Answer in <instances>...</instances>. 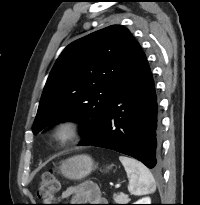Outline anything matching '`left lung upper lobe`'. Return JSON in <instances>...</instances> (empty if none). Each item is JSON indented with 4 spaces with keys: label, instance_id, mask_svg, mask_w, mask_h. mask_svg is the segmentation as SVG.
<instances>
[{
    "label": "left lung upper lobe",
    "instance_id": "1",
    "mask_svg": "<svg viewBox=\"0 0 200 205\" xmlns=\"http://www.w3.org/2000/svg\"><path fill=\"white\" fill-rule=\"evenodd\" d=\"M136 43L128 29L112 25L68 45L45 84L33 133L55 122L73 120L81 123L79 145L92 141Z\"/></svg>",
    "mask_w": 200,
    "mask_h": 205
}]
</instances>
